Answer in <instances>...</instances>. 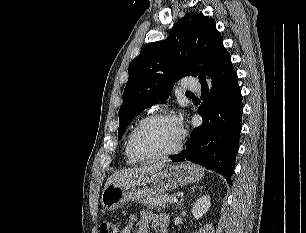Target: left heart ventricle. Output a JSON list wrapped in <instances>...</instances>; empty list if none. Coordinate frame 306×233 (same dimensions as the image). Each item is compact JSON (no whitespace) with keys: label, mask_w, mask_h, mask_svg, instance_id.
Wrapping results in <instances>:
<instances>
[{"label":"left heart ventricle","mask_w":306,"mask_h":233,"mask_svg":"<svg viewBox=\"0 0 306 233\" xmlns=\"http://www.w3.org/2000/svg\"><path fill=\"white\" fill-rule=\"evenodd\" d=\"M179 133L173 119L157 120L141 131L137 138V146L146 154L166 152L175 146Z\"/></svg>","instance_id":"left-heart-ventricle-1"}]
</instances>
